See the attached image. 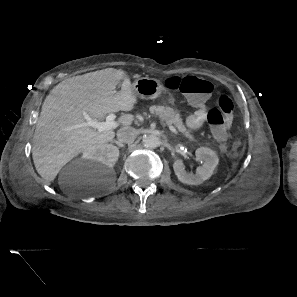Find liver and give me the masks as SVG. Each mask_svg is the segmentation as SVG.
<instances>
[{
    "instance_id": "1",
    "label": "liver",
    "mask_w": 297,
    "mask_h": 297,
    "mask_svg": "<svg viewBox=\"0 0 297 297\" xmlns=\"http://www.w3.org/2000/svg\"><path fill=\"white\" fill-rule=\"evenodd\" d=\"M122 80L121 90L116 91ZM137 103L130 78L123 70L106 68L66 79L45 98L36 124L32 158L38 174L52 182L70 160L93 145L105 144L115 136L113 129L98 132L84 126L86 112L101 120L117 111H131ZM134 115H122L118 123L129 127Z\"/></svg>"
}]
</instances>
